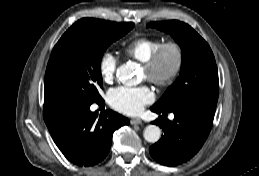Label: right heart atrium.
Instances as JSON below:
<instances>
[{
  "label": "right heart atrium",
  "mask_w": 259,
  "mask_h": 176,
  "mask_svg": "<svg viewBox=\"0 0 259 176\" xmlns=\"http://www.w3.org/2000/svg\"><path fill=\"white\" fill-rule=\"evenodd\" d=\"M118 67V58L111 52H104L99 60L98 70L102 81L106 84L113 82Z\"/></svg>",
  "instance_id": "1"
}]
</instances>
